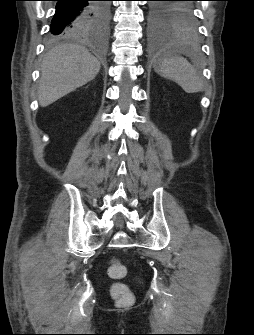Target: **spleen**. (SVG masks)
<instances>
[{
  "label": "spleen",
  "mask_w": 254,
  "mask_h": 335,
  "mask_svg": "<svg viewBox=\"0 0 254 335\" xmlns=\"http://www.w3.org/2000/svg\"><path fill=\"white\" fill-rule=\"evenodd\" d=\"M156 72L164 78L175 81L186 93H198L203 90V79L200 74L187 59L176 54L172 44L159 53Z\"/></svg>",
  "instance_id": "spleen-1"
}]
</instances>
